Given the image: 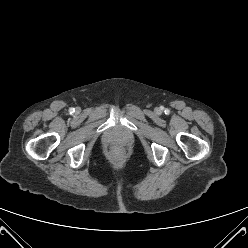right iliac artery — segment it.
Wrapping results in <instances>:
<instances>
[{
  "mask_svg": "<svg viewBox=\"0 0 248 248\" xmlns=\"http://www.w3.org/2000/svg\"><path fill=\"white\" fill-rule=\"evenodd\" d=\"M74 108H71L70 111L73 112Z\"/></svg>",
  "mask_w": 248,
  "mask_h": 248,
  "instance_id": "obj_1",
  "label": "right iliac artery"
}]
</instances>
